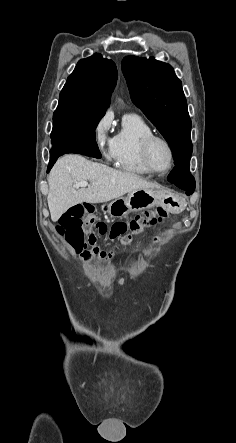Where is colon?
<instances>
[{
    "label": "colon",
    "instance_id": "obj_1",
    "mask_svg": "<svg viewBox=\"0 0 236 443\" xmlns=\"http://www.w3.org/2000/svg\"><path fill=\"white\" fill-rule=\"evenodd\" d=\"M166 216L167 211L158 207L141 212L128 222H116L109 227L97 221L87 205L75 204L61 215L58 231L84 260L111 261L115 253L96 246L97 237L92 228L100 236H107L111 240L119 238L124 246H130L135 236L161 222Z\"/></svg>",
    "mask_w": 236,
    "mask_h": 443
}]
</instances>
